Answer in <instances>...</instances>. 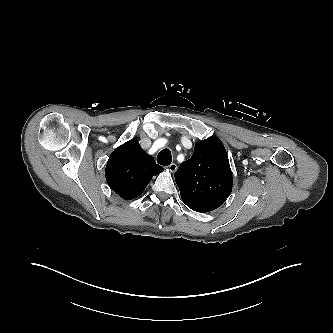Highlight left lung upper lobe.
I'll list each match as a JSON object with an SVG mask.
<instances>
[{
  "label": "left lung upper lobe",
  "instance_id": "5c2ea615",
  "mask_svg": "<svg viewBox=\"0 0 333 333\" xmlns=\"http://www.w3.org/2000/svg\"><path fill=\"white\" fill-rule=\"evenodd\" d=\"M174 176L182 201L197 212L218 208L232 190L228 155L215 137L197 142L192 157L179 166Z\"/></svg>",
  "mask_w": 333,
  "mask_h": 333
}]
</instances>
